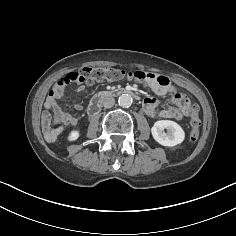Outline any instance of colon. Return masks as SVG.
<instances>
[{"instance_id": "colon-1", "label": "colon", "mask_w": 236, "mask_h": 236, "mask_svg": "<svg viewBox=\"0 0 236 236\" xmlns=\"http://www.w3.org/2000/svg\"><path fill=\"white\" fill-rule=\"evenodd\" d=\"M125 72L121 69L112 67H84L80 71L70 72L61 78L54 88V93L62 95L64 89L68 86H73L81 83L92 84L96 81L108 80L117 81L124 77ZM130 75V73H129ZM133 79L142 81L146 78V75L140 71H134L131 73ZM190 140L196 141L200 133L201 121L199 118V107L196 104L190 106Z\"/></svg>"}]
</instances>
